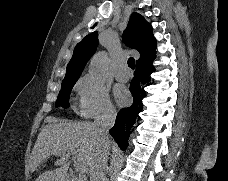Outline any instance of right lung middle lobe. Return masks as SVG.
Masks as SVG:
<instances>
[{
  "mask_svg": "<svg viewBox=\"0 0 228 181\" xmlns=\"http://www.w3.org/2000/svg\"><path fill=\"white\" fill-rule=\"evenodd\" d=\"M76 81L77 80L62 82L61 90L56 101V106H62L63 108L69 107V96Z\"/></svg>",
  "mask_w": 228,
  "mask_h": 181,
  "instance_id": "1",
  "label": "right lung middle lobe"
}]
</instances>
